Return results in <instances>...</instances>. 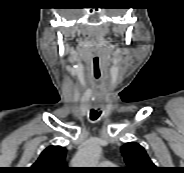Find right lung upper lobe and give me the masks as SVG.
Here are the masks:
<instances>
[{
	"mask_svg": "<svg viewBox=\"0 0 184 173\" xmlns=\"http://www.w3.org/2000/svg\"><path fill=\"white\" fill-rule=\"evenodd\" d=\"M65 158L66 149L64 147H47L28 171L29 173H69Z\"/></svg>",
	"mask_w": 184,
	"mask_h": 173,
	"instance_id": "1",
	"label": "right lung upper lobe"
}]
</instances>
